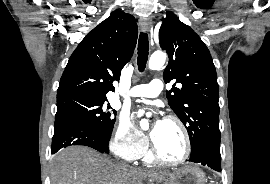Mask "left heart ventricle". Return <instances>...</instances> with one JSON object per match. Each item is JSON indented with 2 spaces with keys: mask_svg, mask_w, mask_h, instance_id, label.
<instances>
[{
  "mask_svg": "<svg viewBox=\"0 0 270 184\" xmlns=\"http://www.w3.org/2000/svg\"><path fill=\"white\" fill-rule=\"evenodd\" d=\"M153 141L159 154L166 160L176 161L184 153L182 132L173 122L163 121Z\"/></svg>",
  "mask_w": 270,
  "mask_h": 184,
  "instance_id": "1",
  "label": "left heart ventricle"
}]
</instances>
